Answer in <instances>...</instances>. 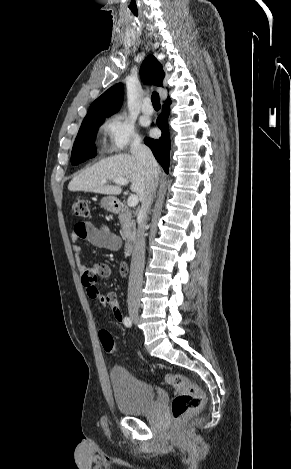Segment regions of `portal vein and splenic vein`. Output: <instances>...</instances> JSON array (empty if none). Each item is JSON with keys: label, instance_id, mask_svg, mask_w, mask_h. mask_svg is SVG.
<instances>
[{"label": "portal vein and splenic vein", "instance_id": "obj_1", "mask_svg": "<svg viewBox=\"0 0 291 469\" xmlns=\"http://www.w3.org/2000/svg\"><path fill=\"white\" fill-rule=\"evenodd\" d=\"M113 182L115 184H119V185H127L128 184V179L119 178V179H114ZM103 183H106V181H103ZM138 202H139L138 196L135 195V194L130 195L128 200H127V204H128L129 207L137 206Z\"/></svg>", "mask_w": 291, "mask_h": 469}]
</instances>
